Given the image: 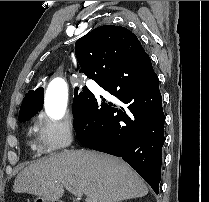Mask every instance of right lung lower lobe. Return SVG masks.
<instances>
[{"label": "right lung lower lobe", "mask_w": 209, "mask_h": 202, "mask_svg": "<svg viewBox=\"0 0 209 202\" xmlns=\"http://www.w3.org/2000/svg\"><path fill=\"white\" fill-rule=\"evenodd\" d=\"M139 62L143 69L130 73L122 84L111 77L97 82L113 100L100 103L93 95L84 111L74 117L73 127L81 144L122 158L158 194L165 116L150 57Z\"/></svg>", "instance_id": "obj_1"}]
</instances>
